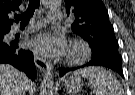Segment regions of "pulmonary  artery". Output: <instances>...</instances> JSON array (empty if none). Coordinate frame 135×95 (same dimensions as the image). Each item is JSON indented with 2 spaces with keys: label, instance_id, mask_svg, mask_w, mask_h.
<instances>
[{
  "label": "pulmonary artery",
  "instance_id": "e3ab8cb5",
  "mask_svg": "<svg viewBox=\"0 0 135 95\" xmlns=\"http://www.w3.org/2000/svg\"><path fill=\"white\" fill-rule=\"evenodd\" d=\"M62 14L59 10H51L49 12V22L53 24H59L61 22ZM41 27V24L39 22H32L30 26L28 27V31H35L38 30ZM19 27H13L11 30V34H15L19 31Z\"/></svg>",
  "mask_w": 135,
  "mask_h": 95
}]
</instances>
